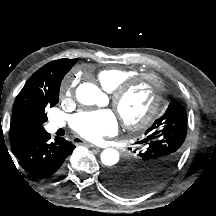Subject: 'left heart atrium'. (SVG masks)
Returning <instances> with one entry per match:
<instances>
[{
	"label": "left heart atrium",
	"instance_id": "1",
	"mask_svg": "<svg viewBox=\"0 0 216 216\" xmlns=\"http://www.w3.org/2000/svg\"><path fill=\"white\" fill-rule=\"evenodd\" d=\"M72 129L82 137L96 141L118 129L117 117L109 109L82 111L71 118Z\"/></svg>",
	"mask_w": 216,
	"mask_h": 216
}]
</instances>
